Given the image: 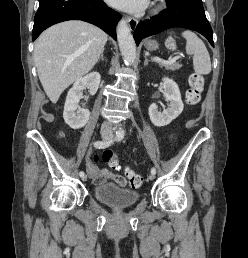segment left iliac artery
Returning a JSON list of instances; mask_svg holds the SVG:
<instances>
[{
    "instance_id": "1",
    "label": "left iliac artery",
    "mask_w": 248,
    "mask_h": 258,
    "mask_svg": "<svg viewBox=\"0 0 248 258\" xmlns=\"http://www.w3.org/2000/svg\"><path fill=\"white\" fill-rule=\"evenodd\" d=\"M123 138H124V134H120L117 138V141H121ZM151 173L156 174V169L154 167L151 169Z\"/></svg>"
}]
</instances>
